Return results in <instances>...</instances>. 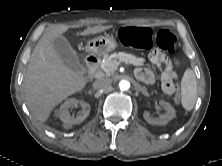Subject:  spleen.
<instances>
[{
    "label": "spleen",
    "instance_id": "1",
    "mask_svg": "<svg viewBox=\"0 0 222 166\" xmlns=\"http://www.w3.org/2000/svg\"><path fill=\"white\" fill-rule=\"evenodd\" d=\"M197 99V81L193 70L187 69L181 81V103L185 110L191 111Z\"/></svg>",
    "mask_w": 222,
    "mask_h": 166
}]
</instances>
